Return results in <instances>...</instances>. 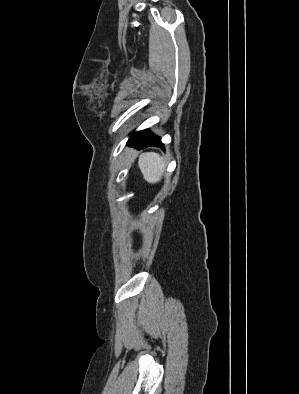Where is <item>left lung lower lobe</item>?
I'll list each match as a JSON object with an SVG mask.
<instances>
[{
    "mask_svg": "<svg viewBox=\"0 0 299 394\" xmlns=\"http://www.w3.org/2000/svg\"><path fill=\"white\" fill-rule=\"evenodd\" d=\"M128 145L137 147L138 149H144L147 147H160L164 148L160 138L151 134L148 130L135 132L129 138Z\"/></svg>",
    "mask_w": 299,
    "mask_h": 394,
    "instance_id": "1",
    "label": "left lung lower lobe"
}]
</instances>
